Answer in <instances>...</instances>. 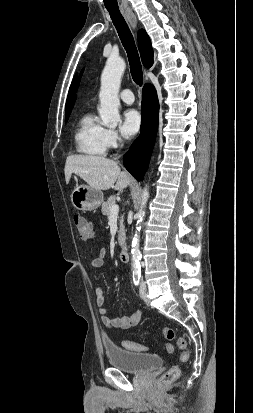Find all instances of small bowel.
Here are the masks:
<instances>
[{"label":"small bowel","instance_id":"1","mask_svg":"<svg viewBox=\"0 0 253 413\" xmlns=\"http://www.w3.org/2000/svg\"><path fill=\"white\" fill-rule=\"evenodd\" d=\"M104 257H105V250L101 249L96 256L92 260V267L95 269H101L104 266ZM94 297L96 304L99 308V313L101 315V319L103 324L107 328H120V329H128L131 327L136 326L141 318V312L136 311L132 313L130 316H123V317H111L108 314V309L105 306V295L104 291L101 287H96L94 291Z\"/></svg>","mask_w":253,"mask_h":413}]
</instances>
